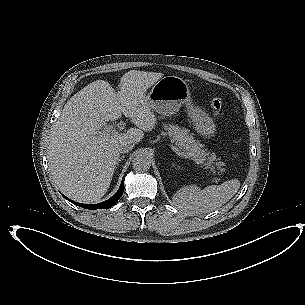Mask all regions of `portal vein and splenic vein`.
I'll list each match as a JSON object with an SVG mask.
<instances>
[{"label": "portal vein and splenic vein", "instance_id": "18ae733b", "mask_svg": "<svg viewBox=\"0 0 305 305\" xmlns=\"http://www.w3.org/2000/svg\"><path fill=\"white\" fill-rule=\"evenodd\" d=\"M125 125L124 122H119L117 124L118 128H123ZM104 133H116V130H114L112 127H106L105 130L103 131ZM171 149L178 155L184 156V153L182 151H180L177 147H175L174 145H171Z\"/></svg>", "mask_w": 305, "mask_h": 305}]
</instances>
